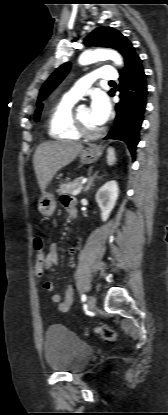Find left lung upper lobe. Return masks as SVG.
I'll list each match as a JSON object with an SVG mask.
<instances>
[{
  "mask_svg": "<svg viewBox=\"0 0 168 415\" xmlns=\"http://www.w3.org/2000/svg\"><path fill=\"white\" fill-rule=\"evenodd\" d=\"M87 46H103L118 50L124 57L127 66L130 60L136 55L134 47L125 36L111 27L96 28L84 40ZM70 69V63L67 62L57 68L48 80L43 84L38 97V104L44 100L54 88L64 79ZM110 90L108 93H110Z\"/></svg>",
  "mask_w": 168,
  "mask_h": 415,
  "instance_id": "obj_1",
  "label": "left lung upper lobe"
}]
</instances>
